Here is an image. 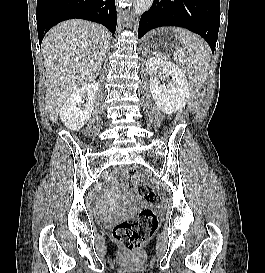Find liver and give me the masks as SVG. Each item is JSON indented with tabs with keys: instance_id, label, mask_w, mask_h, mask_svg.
I'll return each mask as SVG.
<instances>
[{
	"instance_id": "6515ba94",
	"label": "liver",
	"mask_w": 265,
	"mask_h": 273,
	"mask_svg": "<svg viewBox=\"0 0 265 273\" xmlns=\"http://www.w3.org/2000/svg\"><path fill=\"white\" fill-rule=\"evenodd\" d=\"M109 44L104 27L81 19L64 21L44 37L46 106L52 122L72 93L96 79Z\"/></svg>"
}]
</instances>
